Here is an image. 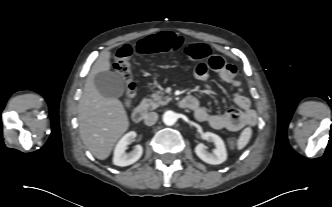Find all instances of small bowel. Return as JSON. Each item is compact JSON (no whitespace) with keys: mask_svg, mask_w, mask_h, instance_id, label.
Wrapping results in <instances>:
<instances>
[{"mask_svg":"<svg viewBox=\"0 0 332 207\" xmlns=\"http://www.w3.org/2000/svg\"><path fill=\"white\" fill-rule=\"evenodd\" d=\"M211 71L232 87L234 102L239 109H229L222 114H217L202 106L195 98L190 110L194 112L196 119L209 124L215 130L238 131L247 125L255 124L257 116L251 108L249 98L243 94L241 82L236 78V67L225 62L222 57L215 56L206 63L198 64L194 68V76L197 80L206 81Z\"/></svg>","mask_w":332,"mask_h":207,"instance_id":"c3829d8e","label":"small bowel"}]
</instances>
